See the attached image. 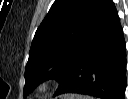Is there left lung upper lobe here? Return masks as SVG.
Returning <instances> with one entry per match:
<instances>
[{
    "mask_svg": "<svg viewBox=\"0 0 128 99\" xmlns=\"http://www.w3.org/2000/svg\"><path fill=\"white\" fill-rule=\"evenodd\" d=\"M110 0H56L37 29L25 68L24 97L47 79L60 80Z\"/></svg>",
    "mask_w": 128,
    "mask_h": 99,
    "instance_id": "5c2ea615",
    "label": "left lung upper lobe"
}]
</instances>
